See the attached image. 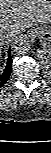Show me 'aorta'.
Instances as JSON below:
<instances>
[{
    "label": "aorta",
    "mask_w": 51,
    "mask_h": 153,
    "mask_svg": "<svg viewBox=\"0 0 51 153\" xmlns=\"http://www.w3.org/2000/svg\"><path fill=\"white\" fill-rule=\"evenodd\" d=\"M12 49L17 54H25L31 49V40L25 34L17 35L12 40Z\"/></svg>",
    "instance_id": "1"
}]
</instances>
